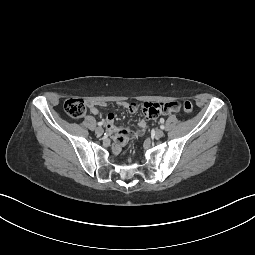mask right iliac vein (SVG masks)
I'll use <instances>...</instances> for the list:
<instances>
[{
    "mask_svg": "<svg viewBox=\"0 0 255 255\" xmlns=\"http://www.w3.org/2000/svg\"><path fill=\"white\" fill-rule=\"evenodd\" d=\"M95 132H96L97 135H102L104 130H103L102 127H98V128H96Z\"/></svg>",
    "mask_w": 255,
    "mask_h": 255,
    "instance_id": "63e3f726",
    "label": "right iliac vein"
}]
</instances>
